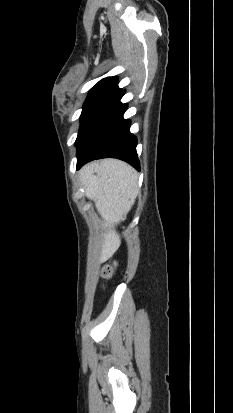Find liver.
<instances>
[{
    "label": "liver",
    "mask_w": 233,
    "mask_h": 413,
    "mask_svg": "<svg viewBox=\"0 0 233 413\" xmlns=\"http://www.w3.org/2000/svg\"><path fill=\"white\" fill-rule=\"evenodd\" d=\"M80 174L87 198L95 202L101 218L106 221L99 257L100 262H105L120 246L116 226L126 219L139 193L137 173L123 161L102 159L84 166Z\"/></svg>",
    "instance_id": "6515ba94"
}]
</instances>
